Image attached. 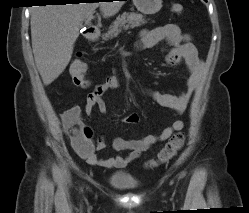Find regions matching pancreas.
<instances>
[{"label": "pancreas", "mask_w": 249, "mask_h": 213, "mask_svg": "<svg viewBox=\"0 0 249 213\" xmlns=\"http://www.w3.org/2000/svg\"><path fill=\"white\" fill-rule=\"evenodd\" d=\"M147 21L142 14L136 12H124L121 16H118L116 20L110 25L107 33L102 35L104 40L112 39L116 37L121 31L129 28L140 27Z\"/></svg>", "instance_id": "1"}]
</instances>
